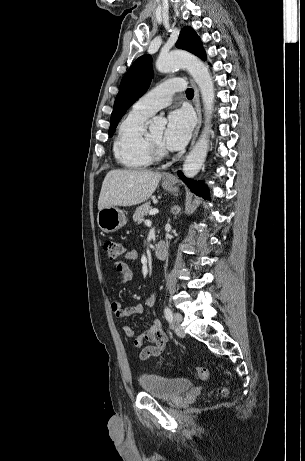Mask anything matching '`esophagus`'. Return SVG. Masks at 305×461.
Returning a JSON list of instances; mask_svg holds the SVG:
<instances>
[{"instance_id":"obj_1","label":"esophagus","mask_w":305,"mask_h":461,"mask_svg":"<svg viewBox=\"0 0 305 461\" xmlns=\"http://www.w3.org/2000/svg\"><path fill=\"white\" fill-rule=\"evenodd\" d=\"M190 82H191V85H192V87L194 89L193 103H194L195 110H196V113H197V124H196L195 130H194V133H193V138H192V142H191V146H190V148H192L194 146V144H195V141L197 139V136H198V133H199V130H200V127H201L202 115H201V107H200V99H199V89H198L196 83L194 82V80L190 79ZM164 179L166 181H174L175 177H174V175L169 174V175L165 176Z\"/></svg>"}]
</instances>
